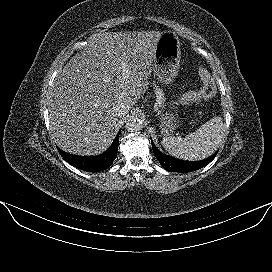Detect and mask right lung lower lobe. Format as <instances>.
Returning a JSON list of instances; mask_svg holds the SVG:
<instances>
[{
  "label": "right lung lower lobe",
  "instance_id": "obj_1",
  "mask_svg": "<svg viewBox=\"0 0 272 272\" xmlns=\"http://www.w3.org/2000/svg\"><path fill=\"white\" fill-rule=\"evenodd\" d=\"M119 144V133L110 148L99 156H76L58 149L61 156L71 165L87 172H99L111 166L116 158Z\"/></svg>",
  "mask_w": 272,
  "mask_h": 272
}]
</instances>
